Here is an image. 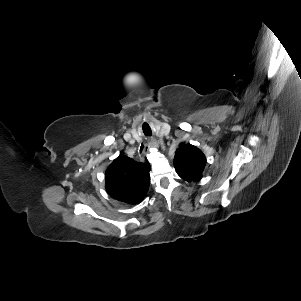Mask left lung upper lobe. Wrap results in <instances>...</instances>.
<instances>
[{
  "instance_id": "5c2ea615",
  "label": "left lung upper lobe",
  "mask_w": 301,
  "mask_h": 301,
  "mask_svg": "<svg viewBox=\"0 0 301 301\" xmlns=\"http://www.w3.org/2000/svg\"><path fill=\"white\" fill-rule=\"evenodd\" d=\"M205 164V155L191 144L182 145L175 153V169L185 181L198 182L202 178Z\"/></svg>"
}]
</instances>
